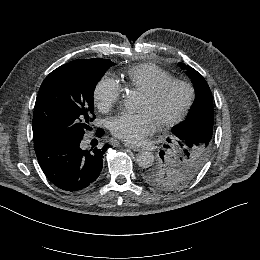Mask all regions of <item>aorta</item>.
Masks as SVG:
<instances>
[{"instance_id": "1", "label": "aorta", "mask_w": 260, "mask_h": 260, "mask_svg": "<svg viewBox=\"0 0 260 260\" xmlns=\"http://www.w3.org/2000/svg\"><path fill=\"white\" fill-rule=\"evenodd\" d=\"M136 100L132 96H127L124 100V106L127 110L136 109ZM136 162L142 168L150 167L154 162V155L149 151H141L136 155Z\"/></svg>"}]
</instances>
